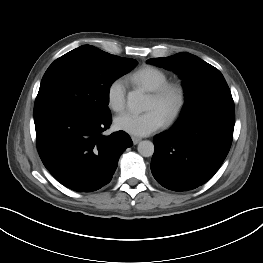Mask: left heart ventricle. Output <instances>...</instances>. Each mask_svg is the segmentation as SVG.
Here are the masks:
<instances>
[{
  "label": "left heart ventricle",
  "instance_id": "obj_1",
  "mask_svg": "<svg viewBox=\"0 0 263 263\" xmlns=\"http://www.w3.org/2000/svg\"><path fill=\"white\" fill-rule=\"evenodd\" d=\"M171 102H169L166 105H161L156 102V100L150 96L148 104H147V109H156L163 117L165 116L166 110L170 107Z\"/></svg>",
  "mask_w": 263,
  "mask_h": 263
}]
</instances>
